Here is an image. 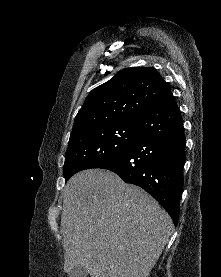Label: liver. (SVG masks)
I'll use <instances>...</instances> for the list:
<instances>
[{"label":"liver","instance_id":"1","mask_svg":"<svg viewBox=\"0 0 221 277\" xmlns=\"http://www.w3.org/2000/svg\"><path fill=\"white\" fill-rule=\"evenodd\" d=\"M172 232L158 202L111 171H81L64 188L66 273L82 266L91 277H148Z\"/></svg>","mask_w":221,"mask_h":277}]
</instances>
